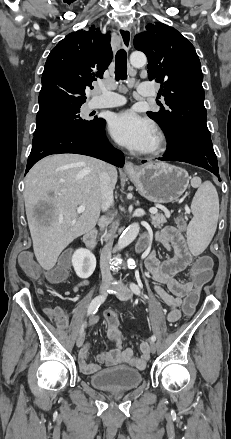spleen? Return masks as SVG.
Returning a JSON list of instances; mask_svg holds the SVG:
<instances>
[{
    "mask_svg": "<svg viewBox=\"0 0 231 439\" xmlns=\"http://www.w3.org/2000/svg\"><path fill=\"white\" fill-rule=\"evenodd\" d=\"M191 210L194 214L187 228V241L193 255L201 254L212 240L219 217V198L216 188L205 181L195 193Z\"/></svg>",
    "mask_w": 231,
    "mask_h": 439,
    "instance_id": "1",
    "label": "spleen"
}]
</instances>
